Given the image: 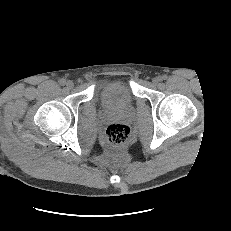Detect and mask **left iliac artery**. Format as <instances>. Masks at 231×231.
<instances>
[{
	"label": "left iliac artery",
	"mask_w": 231,
	"mask_h": 231,
	"mask_svg": "<svg viewBox=\"0 0 231 231\" xmlns=\"http://www.w3.org/2000/svg\"><path fill=\"white\" fill-rule=\"evenodd\" d=\"M167 78V76L166 75H163V76H161V79L160 80H165Z\"/></svg>",
	"instance_id": "1"
}]
</instances>
